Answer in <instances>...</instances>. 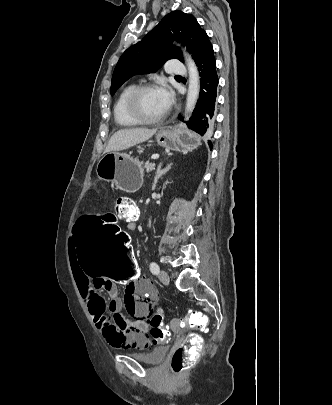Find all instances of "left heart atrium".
Instances as JSON below:
<instances>
[{
    "label": "left heart atrium",
    "instance_id": "obj_1",
    "mask_svg": "<svg viewBox=\"0 0 332 405\" xmlns=\"http://www.w3.org/2000/svg\"><path fill=\"white\" fill-rule=\"evenodd\" d=\"M158 91L164 106L166 107V109H169L174 99L172 90L166 85H163L160 88H158Z\"/></svg>",
    "mask_w": 332,
    "mask_h": 405
}]
</instances>
